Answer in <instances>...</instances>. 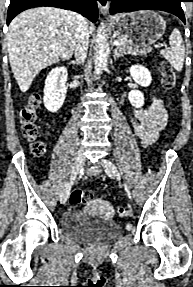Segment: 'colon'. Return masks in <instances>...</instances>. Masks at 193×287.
<instances>
[{
    "label": "colon",
    "mask_w": 193,
    "mask_h": 287,
    "mask_svg": "<svg viewBox=\"0 0 193 287\" xmlns=\"http://www.w3.org/2000/svg\"><path fill=\"white\" fill-rule=\"evenodd\" d=\"M160 72L162 75V85L166 90H171L175 85V73L168 62H162L160 65ZM40 105V97L34 95L29 103L22 109L20 119L22 123V133L25 138L33 142V151L35 155L41 156L44 152L42 143L37 142L36 138L39 134L38 113L37 110ZM93 199V195L89 191L82 189H75L70 195V202L74 205L89 203ZM126 214L125 208L119 206L116 208V215L124 217Z\"/></svg>",
    "instance_id": "1"
}]
</instances>
